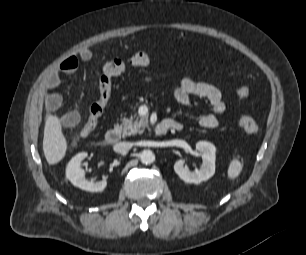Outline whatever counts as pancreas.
<instances>
[{
	"instance_id": "1",
	"label": "pancreas",
	"mask_w": 306,
	"mask_h": 255,
	"mask_svg": "<svg viewBox=\"0 0 306 255\" xmlns=\"http://www.w3.org/2000/svg\"><path fill=\"white\" fill-rule=\"evenodd\" d=\"M148 126L147 117H130L123 118L122 123L119 125V130L122 132L123 137L135 135L137 133L141 134L144 132L145 128Z\"/></svg>"
}]
</instances>
